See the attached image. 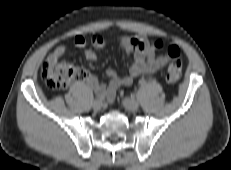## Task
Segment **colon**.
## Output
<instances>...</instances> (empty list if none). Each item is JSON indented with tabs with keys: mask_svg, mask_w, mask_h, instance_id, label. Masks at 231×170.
<instances>
[{
	"mask_svg": "<svg viewBox=\"0 0 231 170\" xmlns=\"http://www.w3.org/2000/svg\"><path fill=\"white\" fill-rule=\"evenodd\" d=\"M152 46L156 50H160L164 47V43L161 40H155ZM167 53L170 63L167 68L166 80L174 84L180 80L182 75L180 50L176 45H171ZM86 76L85 69L64 62L49 63L46 61L41 67V78L46 86L53 91L65 89L72 81L84 80Z\"/></svg>",
	"mask_w": 231,
	"mask_h": 170,
	"instance_id": "5ec220e1",
	"label": "colon"
}]
</instances>
